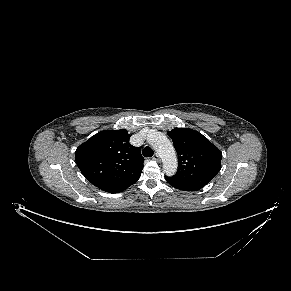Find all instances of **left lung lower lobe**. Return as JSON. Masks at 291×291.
Instances as JSON below:
<instances>
[{
  "label": "left lung lower lobe",
  "instance_id": "1",
  "mask_svg": "<svg viewBox=\"0 0 291 291\" xmlns=\"http://www.w3.org/2000/svg\"><path fill=\"white\" fill-rule=\"evenodd\" d=\"M166 181L176 189L183 191H198L205 185L202 184H180L172 181L168 176H165Z\"/></svg>",
  "mask_w": 291,
  "mask_h": 291
}]
</instances>
